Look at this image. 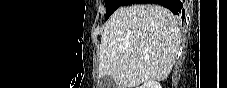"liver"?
<instances>
[{"label":"liver","mask_w":227,"mask_h":88,"mask_svg":"<svg viewBox=\"0 0 227 88\" xmlns=\"http://www.w3.org/2000/svg\"><path fill=\"white\" fill-rule=\"evenodd\" d=\"M181 43L179 22L167 8L135 4L116 10L101 37L99 76L119 88L168 77Z\"/></svg>","instance_id":"liver-1"}]
</instances>
